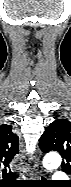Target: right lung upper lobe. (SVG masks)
<instances>
[{"label": "right lung upper lobe", "instance_id": "1", "mask_svg": "<svg viewBox=\"0 0 71 187\" xmlns=\"http://www.w3.org/2000/svg\"><path fill=\"white\" fill-rule=\"evenodd\" d=\"M19 153V138L12 132V126H0V157L6 166Z\"/></svg>", "mask_w": 71, "mask_h": 187}]
</instances>
